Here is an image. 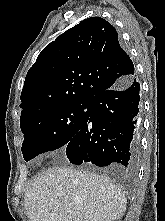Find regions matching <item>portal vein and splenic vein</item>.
Listing matches in <instances>:
<instances>
[{"instance_id": "18ae733b", "label": "portal vein and splenic vein", "mask_w": 165, "mask_h": 221, "mask_svg": "<svg viewBox=\"0 0 165 221\" xmlns=\"http://www.w3.org/2000/svg\"><path fill=\"white\" fill-rule=\"evenodd\" d=\"M52 217H57V215H55V214H52Z\"/></svg>"}]
</instances>
